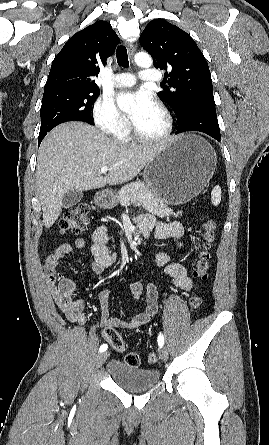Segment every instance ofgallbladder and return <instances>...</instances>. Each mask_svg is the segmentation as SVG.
<instances>
[{"label":"gallbladder","mask_w":269,"mask_h":445,"mask_svg":"<svg viewBox=\"0 0 269 445\" xmlns=\"http://www.w3.org/2000/svg\"><path fill=\"white\" fill-rule=\"evenodd\" d=\"M83 198V193L80 191L69 190L67 191L62 200L63 208H70L76 204H78Z\"/></svg>","instance_id":"gallbladder-1"}]
</instances>
